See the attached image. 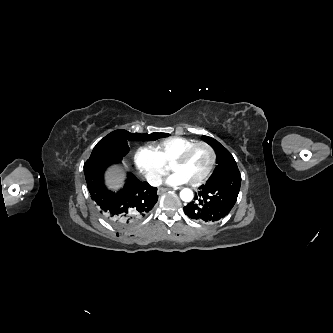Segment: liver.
<instances>
[{"instance_id": "liver-1", "label": "liver", "mask_w": 333, "mask_h": 333, "mask_svg": "<svg viewBox=\"0 0 333 333\" xmlns=\"http://www.w3.org/2000/svg\"><path fill=\"white\" fill-rule=\"evenodd\" d=\"M125 166L128 168L127 164H125ZM105 179H106L107 186L110 189L117 190L123 184V181L125 179V173L119 167L114 166V167L106 170Z\"/></svg>"}]
</instances>
